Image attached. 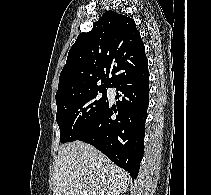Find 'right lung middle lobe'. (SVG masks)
<instances>
[{"label":"right lung middle lobe","mask_w":211,"mask_h":195,"mask_svg":"<svg viewBox=\"0 0 211 195\" xmlns=\"http://www.w3.org/2000/svg\"><path fill=\"white\" fill-rule=\"evenodd\" d=\"M106 88L93 90L57 105L56 121L60 141L78 140L101 116L108 106Z\"/></svg>","instance_id":"dd1d6c3e"}]
</instances>
